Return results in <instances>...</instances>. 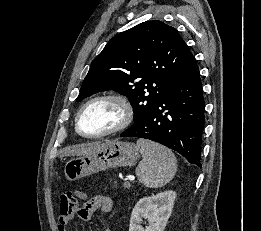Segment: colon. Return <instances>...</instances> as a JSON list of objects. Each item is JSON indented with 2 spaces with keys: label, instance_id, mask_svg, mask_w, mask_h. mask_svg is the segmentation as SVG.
I'll return each instance as SVG.
<instances>
[{
  "label": "colon",
  "instance_id": "colon-1",
  "mask_svg": "<svg viewBox=\"0 0 261 231\" xmlns=\"http://www.w3.org/2000/svg\"><path fill=\"white\" fill-rule=\"evenodd\" d=\"M80 192L67 191L60 198L59 215L71 219L76 213L80 201Z\"/></svg>",
  "mask_w": 261,
  "mask_h": 231
}]
</instances>
